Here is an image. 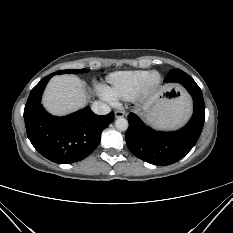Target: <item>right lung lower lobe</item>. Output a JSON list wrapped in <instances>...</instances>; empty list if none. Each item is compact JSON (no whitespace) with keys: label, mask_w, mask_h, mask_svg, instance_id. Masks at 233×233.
<instances>
[{"label":"right lung lower lobe","mask_w":233,"mask_h":233,"mask_svg":"<svg viewBox=\"0 0 233 233\" xmlns=\"http://www.w3.org/2000/svg\"><path fill=\"white\" fill-rule=\"evenodd\" d=\"M52 73L30 92L24 109L27 136L47 159L70 164L87 157L101 140L102 131L114 120V113L99 116L89 107L65 117H54L41 105V95Z\"/></svg>","instance_id":"98d812e1"}]
</instances>
